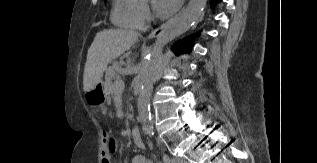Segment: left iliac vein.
<instances>
[{
  "label": "left iliac vein",
  "instance_id": "4c4485c4",
  "mask_svg": "<svg viewBox=\"0 0 317 163\" xmlns=\"http://www.w3.org/2000/svg\"><path fill=\"white\" fill-rule=\"evenodd\" d=\"M170 163H188V162H187V161H185V162H179V161H176V160L172 159V160L170 161Z\"/></svg>",
  "mask_w": 317,
  "mask_h": 163
}]
</instances>
